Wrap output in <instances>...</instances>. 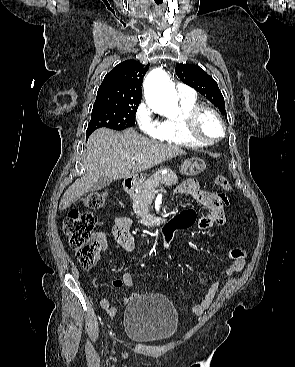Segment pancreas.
<instances>
[{
  "mask_svg": "<svg viewBox=\"0 0 295 367\" xmlns=\"http://www.w3.org/2000/svg\"><path fill=\"white\" fill-rule=\"evenodd\" d=\"M178 182V177L175 173H156L150 178L140 183L137 187V192L131 193L130 197L133 200V211L139 217H145L149 211V197L154 193L157 184H165L172 186Z\"/></svg>",
  "mask_w": 295,
  "mask_h": 367,
  "instance_id": "obj_1",
  "label": "pancreas"
}]
</instances>
